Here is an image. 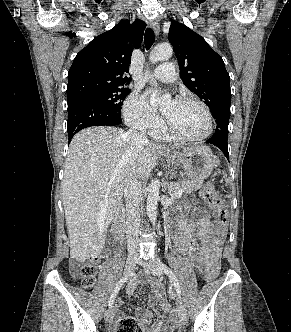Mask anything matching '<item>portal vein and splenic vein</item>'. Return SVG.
<instances>
[{
	"label": "portal vein and splenic vein",
	"instance_id": "obj_1",
	"mask_svg": "<svg viewBox=\"0 0 291 332\" xmlns=\"http://www.w3.org/2000/svg\"><path fill=\"white\" fill-rule=\"evenodd\" d=\"M182 195V191H179L177 196L180 197Z\"/></svg>",
	"mask_w": 291,
	"mask_h": 332
}]
</instances>
